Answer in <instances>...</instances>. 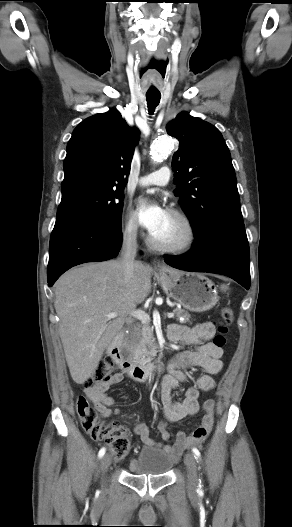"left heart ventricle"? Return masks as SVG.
I'll return each instance as SVG.
<instances>
[{"label":"left heart ventricle","instance_id":"obj_1","mask_svg":"<svg viewBox=\"0 0 292 527\" xmlns=\"http://www.w3.org/2000/svg\"><path fill=\"white\" fill-rule=\"evenodd\" d=\"M184 234L185 231L182 223L167 213L161 227L151 234V236L158 242L173 244L182 240Z\"/></svg>","mask_w":292,"mask_h":527}]
</instances>
